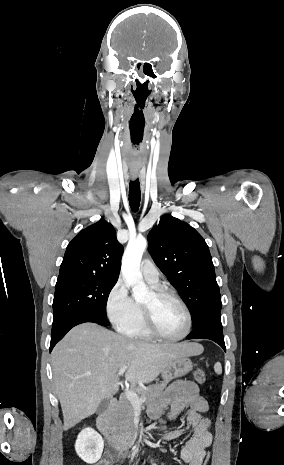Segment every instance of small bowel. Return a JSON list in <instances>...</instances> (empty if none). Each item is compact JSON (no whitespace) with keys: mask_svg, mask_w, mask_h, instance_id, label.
Returning a JSON list of instances; mask_svg holds the SVG:
<instances>
[{"mask_svg":"<svg viewBox=\"0 0 284 465\" xmlns=\"http://www.w3.org/2000/svg\"><path fill=\"white\" fill-rule=\"evenodd\" d=\"M209 410L207 401L201 396L196 383L178 380L170 384L159 399L150 406L148 415L152 421L164 418L166 421L176 419L186 411L185 424L167 432L163 439L172 441L183 436L192 427L193 433L184 443L179 458L184 465H203L205 449L212 443L211 421L204 414ZM128 456L126 451L118 454L120 459ZM113 455L105 452L98 465H110ZM150 465L156 462L150 460Z\"/></svg>","mask_w":284,"mask_h":465,"instance_id":"c3829d8e","label":"small bowel"}]
</instances>
